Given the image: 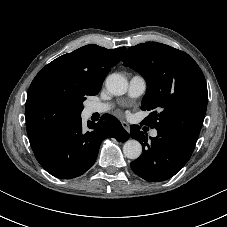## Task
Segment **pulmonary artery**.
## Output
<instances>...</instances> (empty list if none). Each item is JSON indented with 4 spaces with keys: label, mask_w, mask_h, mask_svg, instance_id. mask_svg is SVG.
Segmentation results:
<instances>
[{
    "label": "pulmonary artery",
    "mask_w": 227,
    "mask_h": 227,
    "mask_svg": "<svg viewBox=\"0 0 227 227\" xmlns=\"http://www.w3.org/2000/svg\"><path fill=\"white\" fill-rule=\"evenodd\" d=\"M147 88L146 79L140 75H134L130 78L128 84V96L130 98L140 97ZM112 108V105L109 103H96L91 105L90 111L93 113H106ZM152 137L157 136V131L153 130L151 132Z\"/></svg>",
    "instance_id": "e3ab8cb5"
}]
</instances>
